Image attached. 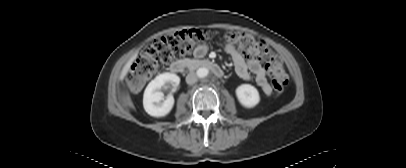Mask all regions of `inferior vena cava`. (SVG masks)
I'll return each mask as SVG.
<instances>
[{
    "label": "inferior vena cava",
    "instance_id": "1",
    "mask_svg": "<svg viewBox=\"0 0 406 168\" xmlns=\"http://www.w3.org/2000/svg\"><path fill=\"white\" fill-rule=\"evenodd\" d=\"M196 81H197V76H196L195 73L190 72V73L187 74V76H186V83H187V84L192 85V84H194Z\"/></svg>",
    "mask_w": 406,
    "mask_h": 168
}]
</instances>
